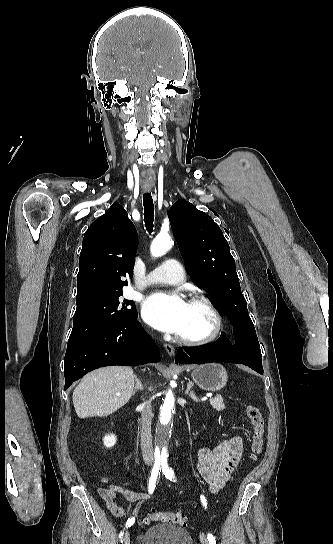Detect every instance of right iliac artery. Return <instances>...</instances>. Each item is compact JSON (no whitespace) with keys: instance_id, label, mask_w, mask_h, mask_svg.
Wrapping results in <instances>:
<instances>
[{"instance_id":"right-iliac-artery-1","label":"right iliac artery","mask_w":333,"mask_h":544,"mask_svg":"<svg viewBox=\"0 0 333 544\" xmlns=\"http://www.w3.org/2000/svg\"><path fill=\"white\" fill-rule=\"evenodd\" d=\"M160 471H161L160 463L154 464L152 472H151V476H150V479H149V485H148V492L150 494H152L154 492L155 488H156V481H157L158 475L160 474ZM134 522H135L134 518L133 519L129 518L127 520L126 524H125V527L132 526L134 524ZM123 533H124V531H121V533L119 534V537H120L121 541H122Z\"/></svg>"}]
</instances>
